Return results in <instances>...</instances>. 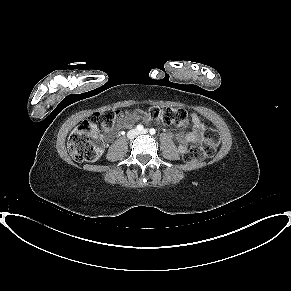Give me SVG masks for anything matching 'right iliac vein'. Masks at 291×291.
Returning <instances> with one entry per match:
<instances>
[{"label": "right iliac vein", "instance_id": "63e3f726", "mask_svg": "<svg viewBox=\"0 0 291 291\" xmlns=\"http://www.w3.org/2000/svg\"><path fill=\"white\" fill-rule=\"evenodd\" d=\"M137 135H138V132H137V130H135V129H132V130H130V131L127 133V137H128L129 139H133V138H135Z\"/></svg>", "mask_w": 291, "mask_h": 291}]
</instances>
